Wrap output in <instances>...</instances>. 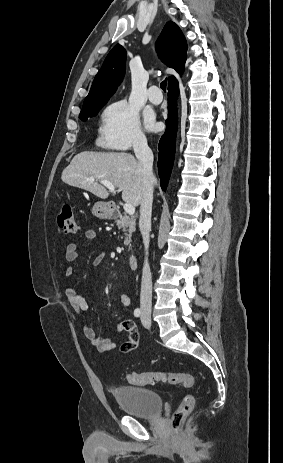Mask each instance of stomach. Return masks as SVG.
<instances>
[{
  "label": "stomach",
  "mask_w": 283,
  "mask_h": 463,
  "mask_svg": "<svg viewBox=\"0 0 283 463\" xmlns=\"http://www.w3.org/2000/svg\"><path fill=\"white\" fill-rule=\"evenodd\" d=\"M92 213L100 219H110L113 216V206L108 202H96L92 208Z\"/></svg>",
  "instance_id": "0dacf381"
}]
</instances>
